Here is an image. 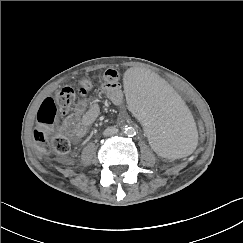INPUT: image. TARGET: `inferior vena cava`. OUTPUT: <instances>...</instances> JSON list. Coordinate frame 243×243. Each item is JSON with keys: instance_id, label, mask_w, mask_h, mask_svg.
I'll return each mask as SVG.
<instances>
[{"instance_id": "1", "label": "inferior vena cava", "mask_w": 243, "mask_h": 243, "mask_svg": "<svg viewBox=\"0 0 243 243\" xmlns=\"http://www.w3.org/2000/svg\"><path fill=\"white\" fill-rule=\"evenodd\" d=\"M118 133V129L116 127H108L104 130V136H113Z\"/></svg>"}]
</instances>
